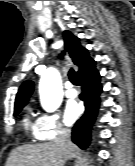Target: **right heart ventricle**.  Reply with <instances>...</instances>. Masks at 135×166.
I'll use <instances>...</instances> for the list:
<instances>
[{
	"label": "right heart ventricle",
	"mask_w": 135,
	"mask_h": 166,
	"mask_svg": "<svg viewBox=\"0 0 135 166\" xmlns=\"http://www.w3.org/2000/svg\"><path fill=\"white\" fill-rule=\"evenodd\" d=\"M23 127L26 131H29L36 137V122H33L31 117V110L28 109L22 120Z\"/></svg>",
	"instance_id": "right-heart-ventricle-1"
}]
</instances>
